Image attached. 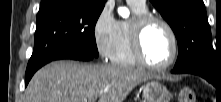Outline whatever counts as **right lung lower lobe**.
I'll list each match as a JSON object with an SVG mask.
<instances>
[{"label":"right lung lower lobe","mask_w":221,"mask_h":102,"mask_svg":"<svg viewBox=\"0 0 221 102\" xmlns=\"http://www.w3.org/2000/svg\"><path fill=\"white\" fill-rule=\"evenodd\" d=\"M94 57L87 54V53H84V52H78V51H67V52H63L51 59H49L48 61L46 62H43L42 64L36 66L35 68L33 69H29V70H26V74H25V77H26V80H25V86H27L28 82L30 81L31 77L33 76V74L40 68L42 67L43 65L47 64L48 62L50 61H53V60H59V59H73V60H80V61H89L91 59H93Z\"/></svg>","instance_id":"1"}]
</instances>
